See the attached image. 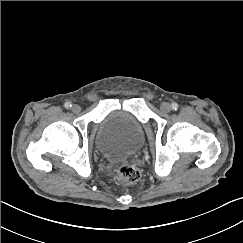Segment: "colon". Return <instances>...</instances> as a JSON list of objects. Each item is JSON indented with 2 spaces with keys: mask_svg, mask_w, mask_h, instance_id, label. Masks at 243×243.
Returning <instances> with one entry per match:
<instances>
[{
  "mask_svg": "<svg viewBox=\"0 0 243 243\" xmlns=\"http://www.w3.org/2000/svg\"><path fill=\"white\" fill-rule=\"evenodd\" d=\"M116 178L126 184H134L140 179V172L136 167L125 164L116 169Z\"/></svg>",
  "mask_w": 243,
  "mask_h": 243,
  "instance_id": "obj_1",
  "label": "colon"
}]
</instances>
